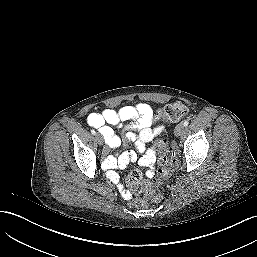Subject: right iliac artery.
Returning a JSON list of instances; mask_svg holds the SVG:
<instances>
[{"instance_id": "right-iliac-artery-1", "label": "right iliac artery", "mask_w": 257, "mask_h": 257, "mask_svg": "<svg viewBox=\"0 0 257 257\" xmlns=\"http://www.w3.org/2000/svg\"><path fill=\"white\" fill-rule=\"evenodd\" d=\"M91 133H92L93 135H95V134H96L95 130H91Z\"/></svg>"}]
</instances>
